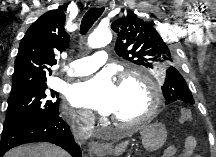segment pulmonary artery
<instances>
[{
    "label": "pulmonary artery",
    "instance_id": "obj_1",
    "mask_svg": "<svg viewBox=\"0 0 216 157\" xmlns=\"http://www.w3.org/2000/svg\"><path fill=\"white\" fill-rule=\"evenodd\" d=\"M108 59L105 51H97L91 56L72 61L69 64L70 76H83L97 71Z\"/></svg>",
    "mask_w": 216,
    "mask_h": 157
}]
</instances>
